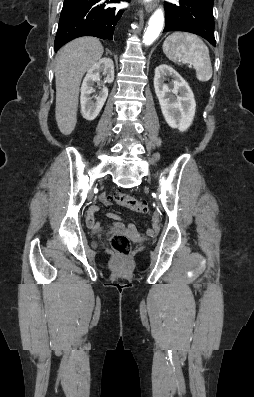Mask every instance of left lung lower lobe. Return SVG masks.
<instances>
[{"label": "left lung lower lobe", "instance_id": "1", "mask_svg": "<svg viewBox=\"0 0 254 397\" xmlns=\"http://www.w3.org/2000/svg\"><path fill=\"white\" fill-rule=\"evenodd\" d=\"M167 31H187L198 34L215 46L213 0H179L165 3Z\"/></svg>", "mask_w": 254, "mask_h": 397}]
</instances>
